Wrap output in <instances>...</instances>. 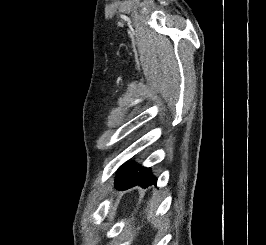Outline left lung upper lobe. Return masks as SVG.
I'll use <instances>...</instances> for the list:
<instances>
[{
	"label": "left lung upper lobe",
	"mask_w": 266,
	"mask_h": 245,
	"mask_svg": "<svg viewBox=\"0 0 266 245\" xmlns=\"http://www.w3.org/2000/svg\"><path fill=\"white\" fill-rule=\"evenodd\" d=\"M124 166H122L120 169H119V172L121 173L120 175H123V174H126L131 168H124Z\"/></svg>",
	"instance_id": "obj_1"
}]
</instances>
